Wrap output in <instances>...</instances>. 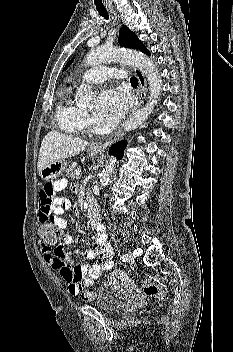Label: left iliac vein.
Here are the masks:
<instances>
[{"label":"left iliac vein","instance_id":"4c4485c4","mask_svg":"<svg viewBox=\"0 0 233 352\" xmlns=\"http://www.w3.org/2000/svg\"><path fill=\"white\" fill-rule=\"evenodd\" d=\"M127 256H128V259H127V262L132 264L134 263L135 259H134V256L131 252L127 253Z\"/></svg>","mask_w":233,"mask_h":352}]
</instances>
